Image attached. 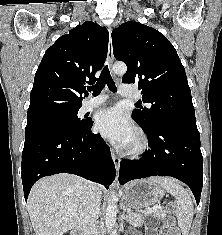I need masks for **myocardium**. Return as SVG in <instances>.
I'll return each mask as SVG.
<instances>
[{"label": "myocardium", "mask_w": 222, "mask_h": 235, "mask_svg": "<svg viewBox=\"0 0 222 235\" xmlns=\"http://www.w3.org/2000/svg\"><path fill=\"white\" fill-rule=\"evenodd\" d=\"M148 147L149 141L146 134L141 130H137L133 143L127 149V154L132 157H140L148 150Z\"/></svg>", "instance_id": "myocardium-1"}]
</instances>
